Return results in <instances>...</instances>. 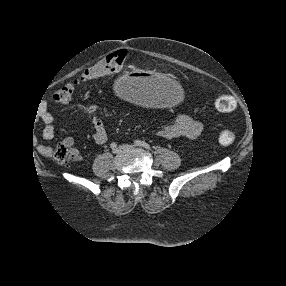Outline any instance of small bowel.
<instances>
[{
  "label": "small bowel",
  "instance_id": "small-bowel-1",
  "mask_svg": "<svg viewBox=\"0 0 286 286\" xmlns=\"http://www.w3.org/2000/svg\"><path fill=\"white\" fill-rule=\"evenodd\" d=\"M41 119L45 125L42 131V137L45 140H51L55 134L54 117L48 110H45L41 114ZM91 123L93 131V140L99 145L105 144L108 140V134L103 120L100 117L94 115L91 119ZM202 131L203 125L195 117L186 113H177L172 122L160 125L157 128L156 133L158 136L165 139H193L198 137L202 133ZM63 143L72 151L73 160L79 161L81 159L80 151L75 145L74 139L71 137H66L63 140ZM38 151L43 155H49L51 149L49 146L40 145L38 147Z\"/></svg>",
  "mask_w": 286,
  "mask_h": 286
}]
</instances>
